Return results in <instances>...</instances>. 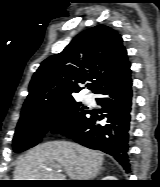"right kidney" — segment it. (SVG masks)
I'll return each instance as SVG.
<instances>
[{
    "instance_id": "1",
    "label": "right kidney",
    "mask_w": 160,
    "mask_h": 187,
    "mask_svg": "<svg viewBox=\"0 0 160 187\" xmlns=\"http://www.w3.org/2000/svg\"><path fill=\"white\" fill-rule=\"evenodd\" d=\"M117 178H115L114 176H107L105 178H103V180H116Z\"/></svg>"
}]
</instances>
